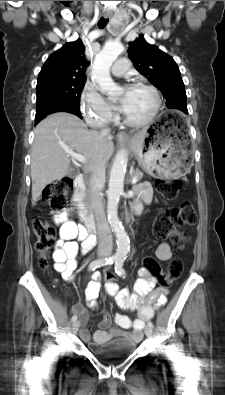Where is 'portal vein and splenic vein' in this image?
<instances>
[{
    "mask_svg": "<svg viewBox=\"0 0 225 395\" xmlns=\"http://www.w3.org/2000/svg\"><path fill=\"white\" fill-rule=\"evenodd\" d=\"M66 153L71 156L72 158H74L75 160L81 162V163H85V157L81 154H78L72 150H66ZM137 182V177H133L132 179V184H135Z\"/></svg>",
    "mask_w": 225,
    "mask_h": 395,
    "instance_id": "portal-vein-and-splenic-vein-1",
    "label": "portal vein and splenic vein"
}]
</instances>
